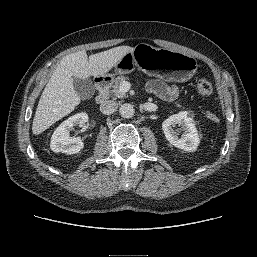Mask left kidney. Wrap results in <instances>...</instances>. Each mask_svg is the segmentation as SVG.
<instances>
[{"label":"left kidney","instance_id":"5707ae66","mask_svg":"<svg viewBox=\"0 0 257 257\" xmlns=\"http://www.w3.org/2000/svg\"><path fill=\"white\" fill-rule=\"evenodd\" d=\"M176 125L184 131L181 137L178 136V131L174 130ZM162 129L166 139L175 147L187 152L196 150L199 137L190 112L182 111L169 116L163 121Z\"/></svg>","mask_w":257,"mask_h":257}]
</instances>
